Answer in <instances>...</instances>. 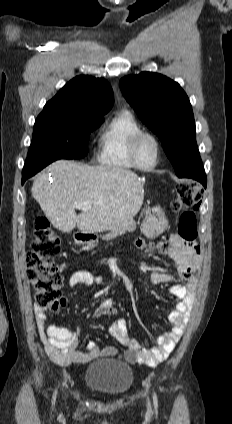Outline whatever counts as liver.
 Wrapping results in <instances>:
<instances>
[{
    "instance_id": "6515ba94",
    "label": "liver",
    "mask_w": 232,
    "mask_h": 424,
    "mask_svg": "<svg viewBox=\"0 0 232 424\" xmlns=\"http://www.w3.org/2000/svg\"><path fill=\"white\" fill-rule=\"evenodd\" d=\"M33 183L31 192L46 217L62 232L76 226L83 233L112 230L132 219L142 207L143 179L130 170L89 166L58 160ZM89 202L91 209L79 215L75 204Z\"/></svg>"
}]
</instances>
